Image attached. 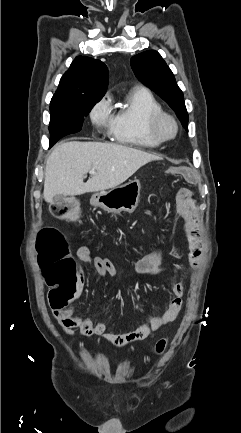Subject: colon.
Listing matches in <instances>:
<instances>
[{"instance_id":"obj_1","label":"colon","mask_w":241,"mask_h":433,"mask_svg":"<svg viewBox=\"0 0 241 433\" xmlns=\"http://www.w3.org/2000/svg\"><path fill=\"white\" fill-rule=\"evenodd\" d=\"M193 168H163V177H186L188 184L197 182ZM53 200L48 207V214L54 221L70 220L71 214H84L85 207L79 200ZM72 229H81V220L71 221ZM41 272H44L46 283L50 288L48 298L55 312H66L68 305L79 293V277L75 262L70 255L64 236L55 228H43L36 244ZM166 339H161L155 346L158 354L166 348Z\"/></svg>"}]
</instances>
